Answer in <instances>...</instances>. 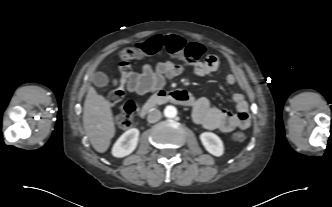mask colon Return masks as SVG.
Returning <instances> with one entry per match:
<instances>
[{
	"label": "colon",
	"instance_id": "obj_1",
	"mask_svg": "<svg viewBox=\"0 0 332 207\" xmlns=\"http://www.w3.org/2000/svg\"><path fill=\"white\" fill-rule=\"evenodd\" d=\"M162 49L166 50L171 56L181 59L188 64H196L203 54V47L201 44L187 42L178 35H156L145 42L125 48L120 53V81L114 79L111 82L112 88L108 95V100L111 104L115 105L119 103L124 96L121 79L122 74L127 73L129 70V61L148 55H154ZM134 110L135 105L132 101L122 105L121 113L116 121L119 129L125 130L131 127ZM232 139L235 142H243L245 140V135L242 132H235L232 135Z\"/></svg>",
	"mask_w": 332,
	"mask_h": 207
}]
</instances>
